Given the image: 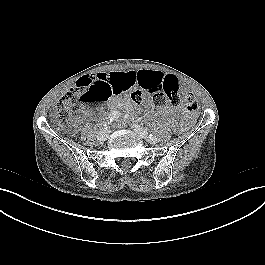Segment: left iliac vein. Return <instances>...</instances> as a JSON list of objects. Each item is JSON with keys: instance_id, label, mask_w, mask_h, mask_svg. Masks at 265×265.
<instances>
[{"instance_id": "1", "label": "left iliac vein", "mask_w": 265, "mask_h": 265, "mask_svg": "<svg viewBox=\"0 0 265 265\" xmlns=\"http://www.w3.org/2000/svg\"><path fill=\"white\" fill-rule=\"evenodd\" d=\"M132 129L135 131V132H137L142 138H145V139H147L148 138V133H147V131L143 128V127H141L140 125H138V124H133L132 126ZM149 141H150V143H157V141L155 140V141H152V140H150L149 139Z\"/></svg>"}]
</instances>
